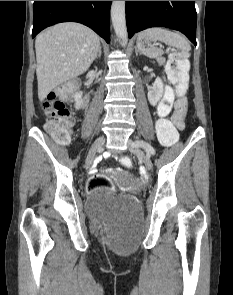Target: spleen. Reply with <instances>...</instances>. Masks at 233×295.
<instances>
[{
	"label": "spleen",
	"instance_id": "obj_1",
	"mask_svg": "<svg viewBox=\"0 0 233 295\" xmlns=\"http://www.w3.org/2000/svg\"><path fill=\"white\" fill-rule=\"evenodd\" d=\"M143 40H160L169 46L179 48L184 56L190 51V45L182 35L160 27L149 28L140 32L137 38V47L149 58H157L161 56L163 51L159 48H144L142 46Z\"/></svg>",
	"mask_w": 233,
	"mask_h": 295
}]
</instances>
